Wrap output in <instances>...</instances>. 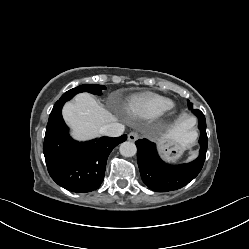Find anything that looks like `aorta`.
Listing matches in <instances>:
<instances>
[{
	"instance_id": "obj_1",
	"label": "aorta",
	"mask_w": 249,
	"mask_h": 249,
	"mask_svg": "<svg viewBox=\"0 0 249 249\" xmlns=\"http://www.w3.org/2000/svg\"><path fill=\"white\" fill-rule=\"evenodd\" d=\"M120 154L125 157H132L136 154L137 148L133 142L126 141L119 147Z\"/></svg>"
}]
</instances>
